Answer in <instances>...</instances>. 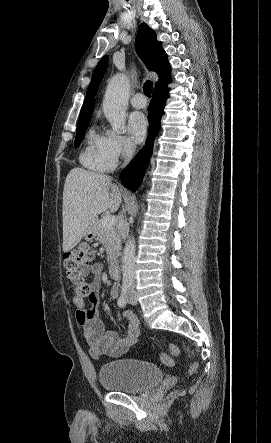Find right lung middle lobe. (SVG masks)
<instances>
[{"label": "right lung middle lobe", "mask_w": 271, "mask_h": 443, "mask_svg": "<svg viewBox=\"0 0 271 443\" xmlns=\"http://www.w3.org/2000/svg\"><path fill=\"white\" fill-rule=\"evenodd\" d=\"M89 121H90V117L78 120L77 133H76V138L74 141L75 148H77L80 145V143L82 142V139H83L85 130L89 124Z\"/></svg>", "instance_id": "dd1d6c3e"}]
</instances>
